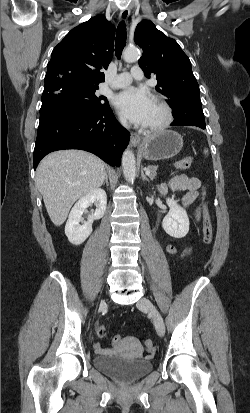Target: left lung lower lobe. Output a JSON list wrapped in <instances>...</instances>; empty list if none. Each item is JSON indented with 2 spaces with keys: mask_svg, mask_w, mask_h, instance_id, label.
Masks as SVG:
<instances>
[{
  "mask_svg": "<svg viewBox=\"0 0 250 413\" xmlns=\"http://www.w3.org/2000/svg\"><path fill=\"white\" fill-rule=\"evenodd\" d=\"M174 121L172 126H197L206 128L200 97L191 98L184 102H177L171 107Z\"/></svg>",
  "mask_w": 250,
  "mask_h": 413,
  "instance_id": "0a47b994",
  "label": "left lung lower lobe"
}]
</instances>
